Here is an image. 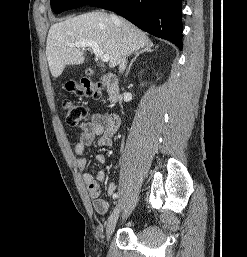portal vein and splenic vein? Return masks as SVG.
Returning a JSON list of instances; mask_svg holds the SVG:
<instances>
[{
  "instance_id": "1",
  "label": "portal vein and splenic vein",
  "mask_w": 247,
  "mask_h": 257,
  "mask_svg": "<svg viewBox=\"0 0 247 257\" xmlns=\"http://www.w3.org/2000/svg\"><path fill=\"white\" fill-rule=\"evenodd\" d=\"M68 46L78 47V48L90 47L94 52V54L96 55V57L101 59V61L108 62L110 59L108 55L104 54L103 50L99 47V45L92 40L82 39L74 43H68Z\"/></svg>"
}]
</instances>
